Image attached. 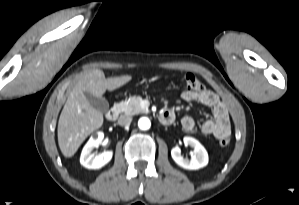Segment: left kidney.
Wrapping results in <instances>:
<instances>
[{
    "label": "left kidney",
    "mask_w": 299,
    "mask_h": 205,
    "mask_svg": "<svg viewBox=\"0 0 299 205\" xmlns=\"http://www.w3.org/2000/svg\"><path fill=\"white\" fill-rule=\"evenodd\" d=\"M186 146L194 149L195 154L190 160L184 159L181 155V150L178 146L171 150V156L175 163L180 167L188 170H197L205 167L208 164V153L198 140L193 137L186 136L183 139Z\"/></svg>",
    "instance_id": "obj_1"
}]
</instances>
